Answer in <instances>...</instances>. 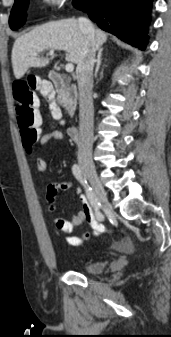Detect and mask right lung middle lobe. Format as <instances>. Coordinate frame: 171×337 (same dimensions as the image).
<instances>
[{"label": "right lung middle lobe", "instance_id": "dd1d6c3e", "mask_svg": "<svg viewBox=\"0 0 171 337\" xmlns=\"http://www.w3.org/2000/svg\"><path fill=\"white\" fill-rule=\"evenodd\" d=\"M29 0H15L11 10L9 24L12 30L20 28L25 23V11Z\"/></svg>", "mask_w": 171, "mask_h": 337}]
</instances>
